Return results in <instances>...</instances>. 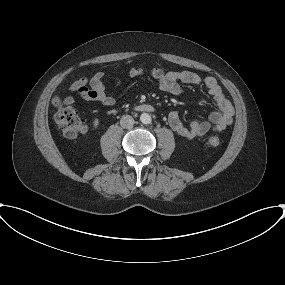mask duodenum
Returning a JSON list of instances; mask_svg holds the SVG:
<instances>
[{"label": "duodenum", "instance_id": "obj_1", "mask_svg": "<svg viewBox=\"0 0 285 285\" xmlns=\"http://www.w3.org/2000/svg\"><path fill=\"white\" fill-rule=\"evenodd\" d=\"M139 110L144 111V112H151L153 111V107L150 105H141L139 106Z\"/></svg>", "mask_w": 285, "mask_h": 285}]
</instances>
